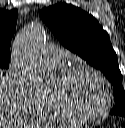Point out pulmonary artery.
<instances>
[{"mask_svg":"<svg viewBox=\"0 0 125 128\" xmlns=\"http://www.w3.org/2000/svg\"><path fill=\"white\" fill-rule=\"evenodd\" d=\"M45 58L47 63L55 68L62 69L66 62L67 53L66 51L58 46H49L45 50Z\"/></svg>","mask_w":125,"mask_h":128,"instance_id":"pulmonary-artery-1","label":"pulmonary artery"}]
</instances>
